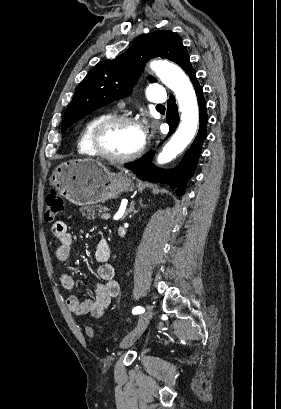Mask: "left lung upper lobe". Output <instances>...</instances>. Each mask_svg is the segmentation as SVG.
Segmentation results:
<instances>
[{"label": "left lung upper lobe", "instance_id": "1", "mask_svg": "<svg viewBox=\"0 0 281 409\" xmlns=\"http://www.w3.org/2000/svg\"><path fill=\"white\" fill-rule=\"evenodd\" d=\"M157 56L177 63L187 74L194 70L181 38L174 32L161 30L146 35L114 60L93 67L78 85L64 113L61 132L92 111L127 96L145 62ZM149 80L156 81L152 77Z\"/></svg>", "mask_w": 281, "mask_h": 409}]
</instances>
